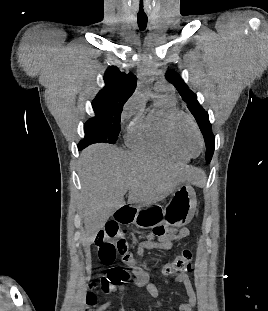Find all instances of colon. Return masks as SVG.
<instances>
[{"instance_id": "5ec220e1", "label": "colon", "mask_w": 268, "mask_h": 311, "mask_svg": "<svg viewBox=\"0 0 268 311\" xmlns=\"http://www.w3.org/2000/svg\"><path fill=\"white\" fill-rule=\"evenodd\" d=\"M95 244L98 249V260L105 265L113 264L117 257H120L124 263H130L133 260L132 254L129 252L128 241L124 233L120 230L115 222H110L99 232L96 237ZM192 252L184 250L173 260L166 263L162 268V274L173 275L178 272H185L192 267ZM131 278V274L120 267L109 269L100 280L101 288L104 292H112L122 283ZM87 304L92 306L96 303L94 292L87 294ZM86 311H91L90 309Z\"/></svg>"}]
</instances>
